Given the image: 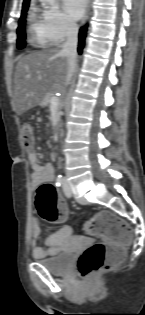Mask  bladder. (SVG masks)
Segmentation results:
<instances>
[{
	"label": "bladder",
	"instance_id": "1",
	"mask_svg": "<svg viewBox=\"0 0 145 315\" xmlns=\"http://www.w3.org/2000/svg\"><path fill=\"white\" fill-rule=\"evenodd\" d=\"M69 249H81V248H69ZM74 256H66V250H63L55 256L42 259L39 262L44 268L54 275H62L66 273L72 266Z\"/></svg>",
	"mask_w": 145,
	"mask_h": 315
}]
</instances>
